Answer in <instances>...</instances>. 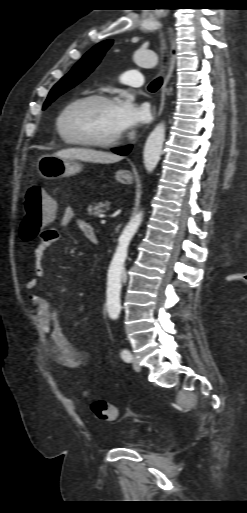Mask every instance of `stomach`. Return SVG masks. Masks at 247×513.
Listing matches in <instances>:
<instances>
[{
    "label": "stomach",
    "mask_w": 247,
    "mask_h": 513,
    "mask_svg": "<svg viewBox=\"0 0 247 513\" xmlns=\"http://www.w3.org/2000/svg\"><path fill=\"white\" fill-rule=\"evenodd\" d=\"M38 172L47 180L58 179L75 175L82 171L80 162L60 158L57 155H44L38 160ZM115 179L122 184H131L133 177L127 170L115 173Z\"/></svg>",
    "instance_id": "0dacf381"
}]
</instances>
